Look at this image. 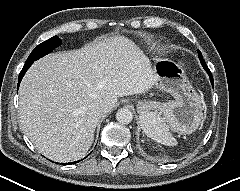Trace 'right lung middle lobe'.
Masks as SVG:
<instances>
[{
  "instance_id": "dd1d6c3e",
  "label": "right lung middle lobe",
  "mask_w": 240,
  "mask_h": 191,
  "mask_svg": "<svg viewBox=\"0 0 240 191\" xmlns=\"http://www.w3.org/2000/svg\"><path fill=\"white\" fill-rule=\"evenodd\" d=\"M60 44L61 39H59L57 36L44 41L32 51V53L27 58L26 63H33L35 60H38L44 55L51 53L56 47L60 46Z\"/></svg>"
}]
</instances>
